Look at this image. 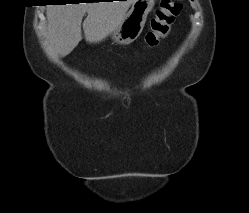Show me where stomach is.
Segmentation results:
<instances>
[{
    "instance_id": "obj_1",
    "label": "stomach",
    "mask_w": 249,
    "mask_h": 213,
    "mask_svg": "<svg viewBox=\"0 0 249 213\" xmlns=\"http://www.w3.org/2000/svg\"><path fill=\"white\" fill-rule=\"evenodd\" d=\"M154 0H134L121 23L111 32L112 39L121 45L132 43L142 32Z\"/></svg>"
}]
</instances>
